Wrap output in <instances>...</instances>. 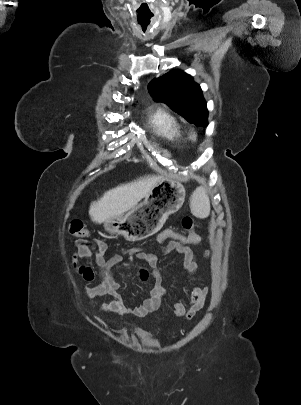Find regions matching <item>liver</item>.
<instances>
[{
  "label": "liver",
  "instance_id": "obj_1",
  "mask_svg": "<svg viewBox=\"0 0 301 405\" xmlns=\"http://www.w3.org/2000/svg\"><path fill=\"white\" fill-rule=\"evenodd\" d=\"M162 179V176H147L106 191L90 205L89 215L92 221L105 223L124 215L146 198L153 186Z\"/></svg>",
  "mask_w": 301,
  "mask_h": 405
}]
</instances>
